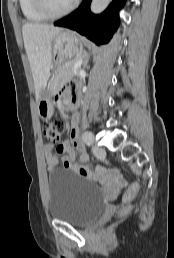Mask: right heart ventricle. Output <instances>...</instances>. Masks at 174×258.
I'll return each mask as SVG.
<instances>
[{"label": "right heart ventricle", "instance_id": "right-heart-ventricle-1", "mask_svg": "<svg viewBox=\"0 0 174 258\" xmlns=\"http://www.w3.org/2000/svg\"><path fill=\"white\" fill-rule=\"evenodd\" d=\"M19 5L24 17L30 22H43L48 18L44 16L35 6L34 0H19Z\"/></svg>", "mask_w": 174, "mask_h": 258}]
</instances>
